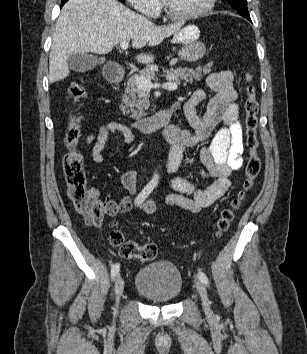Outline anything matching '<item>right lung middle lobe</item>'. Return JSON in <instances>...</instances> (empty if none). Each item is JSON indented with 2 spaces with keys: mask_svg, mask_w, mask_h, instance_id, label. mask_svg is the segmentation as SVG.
<instances>
[{
  "mask_svg": "<svg viewBox=\"0 0 307 354\" xmlns=\"http://www.w3.org/2000/svg\"><path fill=\"white\" fill-rule=\"evenodd\" d=\"M119 1L124 2L125 0H119Z\"/></svg>",
  "mask_w": 307,
  "mask_h": 354,
  "instance_id": "dd1d6c3e",
  "label": "right lung middle lobe"
}]
</instances>
